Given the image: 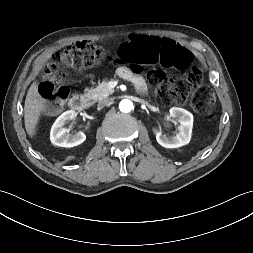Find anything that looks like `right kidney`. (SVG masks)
<instances>
[{"instance_id": "ca27d5eb", "label": "right kidney", "mask_w": 253, "mask_h": 253, "mask_svg": "<svg viewBox=\"0 0 253 253\" xmlns=\"http://www.w3.org/2000/svg\"><path fill=\"white\" fill-rule=\"evenodd\" d=\"M77 116L74 110H69L62 113L52 125L50 131V140L53 145L59 147H74L80 145L86 140V135L83 132H78L70 135L68 129L64 127L69 121Z\"/></svg>"}]
</instances>
